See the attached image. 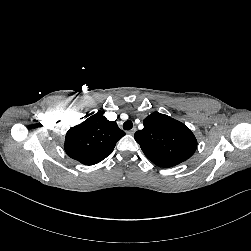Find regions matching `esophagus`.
<instances>
[{
    "label": "esophagus",
    "instance_id": "esophagus-1",
    "mask_svg": "<svg viewBox=\"0 0 251 251\" xmlns=\"http://www.w3.org/2000/svg\"><path fill=\"white\" fill-rule=\"evenodd\" d=\"M136 132V128H132L131 130H129L127 133L130 135H134V133Z\"/></svg>",
    "mask_w": 251,
    "mask_h": 251
}]
</instances>
